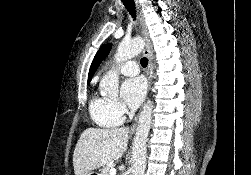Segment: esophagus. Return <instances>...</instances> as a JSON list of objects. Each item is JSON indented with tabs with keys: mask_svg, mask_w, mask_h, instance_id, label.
<instances>
[{
	"mask_svg": "<svg viewBox=\"0 0 251 175\" xmlns=\"http://www.w3.org/2000/svg\"><path fill=\"white\" fill-rule=\"evenodd\" d=\"M140 25H141L142 37L145 40V46L143 48V55L145 57H147V59L149 60L148 67H147V70H146V76H147L148 88H149L150 83H151V73H152V68H153V59H152V53H151V50H150V41H149L148 33H147V30H146V28L144 26V22H143L142 17L140 19ZM137 120H138V117L135 118V123L131 127L132 130H135Z\"/></svg>",
	"mask_w": 251,
	"mask_h": 175,
	"instance_id": "1",
	"label": "esophagus"
}]
</instances>
